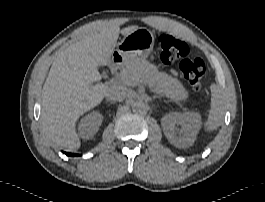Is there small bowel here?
<instances>
[{"instance_id":"c3829d8e","label":"small bowel","mask_w":265,"mask_h":202,"mask_svg":"<svg viewBox=\"0 0 265 202\" xmlns=\"http://www.w3.org/2000/svg\"><path fill=\"white\" fill-rule=\"evenodd\" d=\"M172 73L175 75L176 74V72L175 71H172Z\"/></svg>"}]
</instances>
